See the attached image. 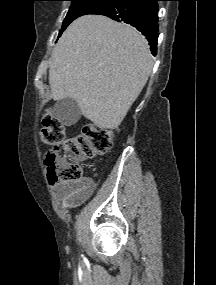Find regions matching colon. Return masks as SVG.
<instances>
[{
    "label": "colon",
    "instance_id": "1",
    "mask_svg": "<svg viewBox=\"0 0 216 285\" xmlns=\"http://www.w3.org/2000/svg\"><path fill=\"white\" fill-rule=\"evenodd\" d=\"M40 136L51 146L45 162L52 184L80 181L81 162L107 153L114 138L111 131L92 124L84 126L80 134L67 137L62 122L52 113L43 117Z\"/></svg>",
    "mask_w": 216,
    "mask_h": 285
}]
</instances>
